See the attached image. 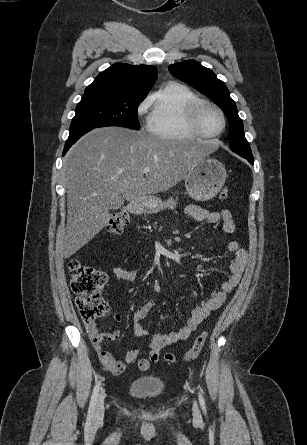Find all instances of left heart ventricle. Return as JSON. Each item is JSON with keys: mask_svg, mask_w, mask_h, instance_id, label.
Returning <instances> with one entry per match:
<instances>
[{"mask_svg": "<svg viewBox=\"0 0 307 445\" xmlns=\"http://www.w3.org/2000/svg\"><path fill=\"white\" fill-rule=\"evenodd\" d=\"M202 122L211 134H218L224 129V120L221 113L210 106H206L201 114Z\"/></svg>", "mask_w": 307, "mask_h": 445, "instance_id": "b2bd125f", "label": "left heart ventricle"}]
</instances>
